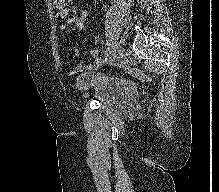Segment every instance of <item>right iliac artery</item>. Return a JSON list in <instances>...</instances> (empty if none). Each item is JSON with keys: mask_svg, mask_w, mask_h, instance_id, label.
Returning <instances> with one entry per match:
<instances>
[{"mask_svg": "<svg viewBox=\"0 0 219 192\" xmlns=\"http://www.w3.org/2000/svg\"><path fill=\"white\" fill-rule=\"evenodd\" d=\"M112 53V50L109 48L107 51H106V53H105V55H104V57H103V60L104 61H107L108 60V58L110 57V54Z\"/></svg>", "mask_w": 219, "mask_h": 192, "instance_id": "obj_1", "label": "right iliac artery"}]
</instances>
